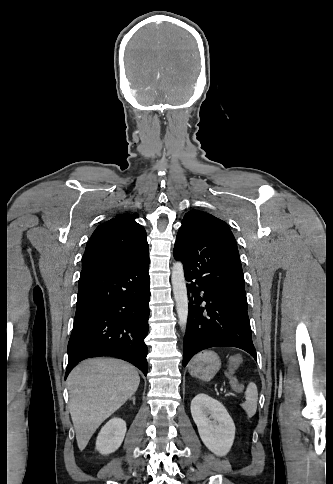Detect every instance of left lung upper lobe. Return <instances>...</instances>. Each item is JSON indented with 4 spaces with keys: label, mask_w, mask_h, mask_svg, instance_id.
Masks as SVG:
<instances>
[{
    "label": "left lung upper lobe",
    "mask_w": 333,
    "mask_h": 484,
    "mask_svg": "<svg viewBox=\"0 0 333 484\" xmlns=\"http://www.w3.org/2000/svg\"><path fill=\"white\" fill-rule=\"evenodd\" d=\"M189 220H195L204 224L219 222L225 226H228L224 221L216 218L215 216L198 210H191L185 214L183 221Z\"/></svg>",
    "instance_id": "1"
}]
</instances>
